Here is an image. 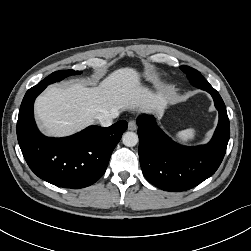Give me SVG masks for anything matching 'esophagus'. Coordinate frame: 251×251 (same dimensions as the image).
<instances>
[{"mask_svg": "<svg viewBox=\"0 0 251 251\" xmlns=\"http://www.w3.org/2000/svg\"><path fill=\"white\" fill-rule=\"evenodd\" d=\"M128 129H129L130 131H134V130L137 129V124H136V121H135V120H130V121L128 122Z\"/></svg>", "mask_w": 251, "mask_h": 251, "instance_id": "34e87169", "label": "esophagus"}]
</instances>
